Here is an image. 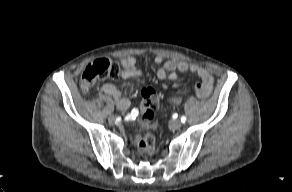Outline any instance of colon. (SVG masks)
I'll list each match as a JSON object with an SVG mask.
<instances>
[{"label": "colon", "mask_w": 292, "mask_h": 192, "mask_svg": "<svg viewBox=\"0 0 292 192\" xmlns=\"http://www.w3.org/2000/svg\"><path fill=\"white\" fill-rule=\"evenodd\" d=\"M123 72L119 65L112 63L107 58L98 59L90 63L84 70L81 77V88L84 92L94 85L95 82L110 78L115 79L122 76ZM160 105L159 94L151 87L145 88L142 91V102L140 106L139 118L143 123H149L154 117V111ZM142 146L148 153L153 147V137L147 135L142 143Z\"/></svg>", "instance_id": "colon-1"}]
</instances>
